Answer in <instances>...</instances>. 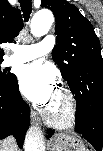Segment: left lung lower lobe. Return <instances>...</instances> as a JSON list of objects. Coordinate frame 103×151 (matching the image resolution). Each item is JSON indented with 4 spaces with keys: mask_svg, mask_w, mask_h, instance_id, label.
Returning a JSON list of instances; mask_svg holds the SVG:
<instances>
[{
    "mask_svg": "<svg viewBox=\"0 0 103 151\" xmlns=\"http://www.w3.org/2000/svg\"><path fill=\"white\" fill-rule=\"evenodd\" d=\"M70 90L76 99V127L97 151L103 146V65L91 63L89 74L70 82ZM49 136L53 134L48 130Z\"/></svg>",
    "mask_w": 103,
    "mask_h": 151,
    "instance_id": "obj_1",
    "label": "left lung lower lobe"
}]
</instances>
